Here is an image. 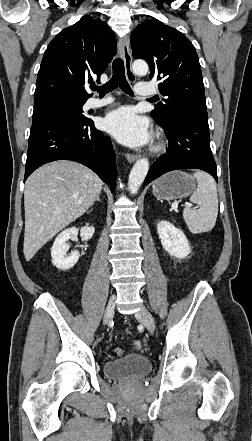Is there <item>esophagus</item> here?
<instances>
[{
	"label": "esophagus",
	"instance_id": "obj_1",
	"mask_svg": "<svg viewBox=\"0 0 252 441\" xmlns=\"http://www.w3.org/2000/svg\"><path fill=\"white\" fill-rule=\"evenodd\" d=\"M119 49L124 61L126 76L131 82L136 81V76L132 71V55L130 50V42L128 37H124L119 41ZM127 161L132 163L138 159V155L128 153L126 155Z\"/></svg>",
	"mask_w": 252,
	"mask_h": 441
}]
</instances>
